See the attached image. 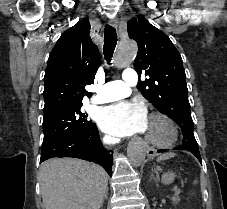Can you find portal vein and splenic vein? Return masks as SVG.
I'll use <instances>...</instances> for the list:
<instances>
[{
	"label": "portal vein and splenic vein",
	"mask_w": 227,
	"mask_h": 209,
	"mask_svg": "<svg viewBox=\"0 0 227 209\" xmlns=\"http://www.w3.org/2000/svg\"><path fill=\"white\" fill-rule=\"evenodd\" d=\"M174 188V189H173ZM170 191L173 193L174 191V197H176L177 195H179L181 192L177 189L178 187L175 185Z\"/></svg>",
	"instance_id": "18ae733b"
}]
</instances>
